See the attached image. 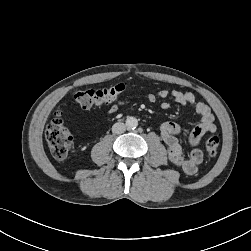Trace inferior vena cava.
<instances>
[{
    "label": "inferior vena cava",
    "mask_w": 251,
    "mask_h": 251,
    "mask_svg": "<svg viewBox=\"0 0 251 251\" xmlns=\"http://www.w3.org/2000/svg\"><path fill=\"white\" fill-rule=\"evenodd\" d=\"M126 130V125L122 122H117L112 126V132L114 134H122Z\"/></svg>",
    "instance_id": "obj_1"
}]
</instances>
